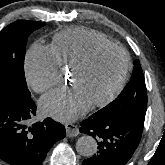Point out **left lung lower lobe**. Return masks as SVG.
Masks as SVG:
<instances>
[{"mask_svg": "<svg viewBox=\"0 0 165 165\" xmlns=\"http://www.w3.org/2000/svg\"><path fill=\"white\" fill-rule=\"evenodd\" d=\"M143 122L101 119L91 115L80 132L97 140L98 151L82 165H125L141 140Z\"/></svg>", "mask_w": 165, "mask_h": 165, "instance_id": "obj_1", "label": "left lung lower lobe"}]
</instances>
